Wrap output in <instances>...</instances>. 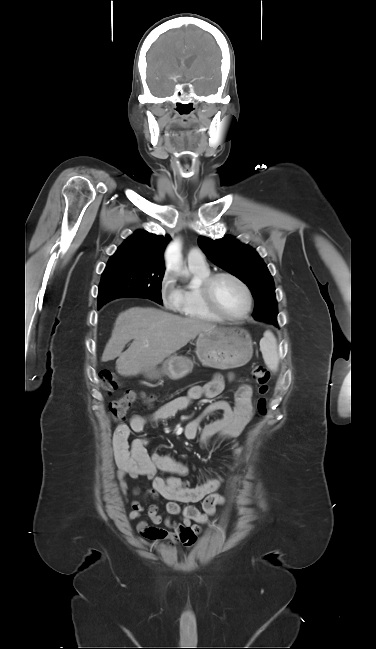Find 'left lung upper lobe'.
<instances>
[{
    "instance_id": "left-lung-upper-lobe-1",
    "label": "left lung upper lobe",
    "mask_w": 376,
    "mask_h": 649,
    "mask_svg": "<svg viewBox=\"0 0 376 649\" xmlns=\"http://www.w3.org/2000/svg\"><path fill=\"white\" fill-rule=\"evenodd\" d=\"M198 243L214 264L238 277L252 291L255 297L253 317L276 325L274 281L258 253L230 236L218 240L200 236Z\"/></svg>"
}]
</instances>
